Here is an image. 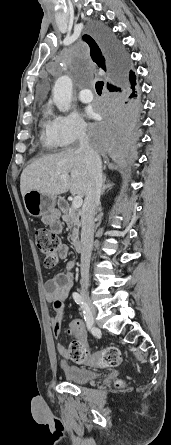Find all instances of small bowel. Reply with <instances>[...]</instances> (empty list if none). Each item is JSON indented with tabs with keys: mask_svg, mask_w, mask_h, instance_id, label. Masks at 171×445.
<instances>
[{
	"mask_svg": "<svg viewBox=\"0 0 171 445\" xmlns=\"http://www.w3.org/2000/svg\"><path fill=\"white\" fill-rule=\"evenodd\" d=\"M50 228L54 233H60L62 226L59 222H51ZM69 247L67 244H61L59 248L60 259H65L68 255ZM77 261L75 259L67 262L65 270L58 273L54 278L46 281L44 289L46 300L54 305L55 316L50 319V326L55 336L59 334L62 319L64 317L65 309L64 302L66 301L68 294L73 286L74 274L73 268ZM71 330L74 333L77 341L86 344V329L81 320H73L70 324ZM57 350L59 354L65 359L62 362V367L69 368L67 362L70 359L69 349L58 343Z\"/></svg>",
	"mask_w": 171,
	"mask_h": 445,
	"instance_id": "obj_1",
	"label": "small bowel"
}]
</instances>
